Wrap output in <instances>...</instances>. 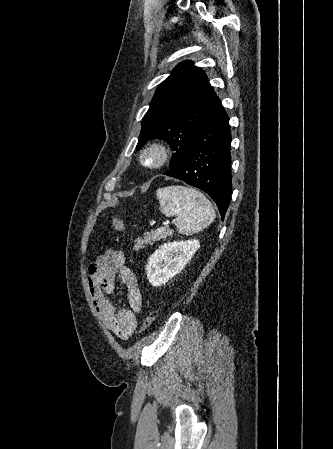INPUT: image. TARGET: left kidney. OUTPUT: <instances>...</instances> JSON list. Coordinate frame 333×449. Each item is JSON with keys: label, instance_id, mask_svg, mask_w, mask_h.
<instances>
[{"label": "left kidney", "instance_id": "left-kidney-1", "mask_svg": "<svg viewBox=\"0 0 333 449\" xmlns=\"http://www.w3.org/2000/svg\"><path fill=\"white\" fill-rule=\"evenodd\" d=\"M200 247L198 240L168 242L159 247L146 265L147 279L152 286H161L179 273Z\"/></svg>", "mask_w": 333, "mask_h": 449}]
</instances>
